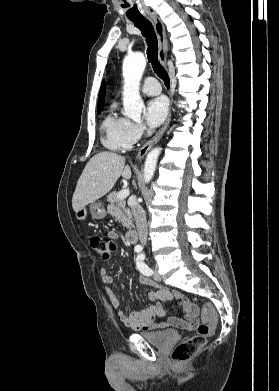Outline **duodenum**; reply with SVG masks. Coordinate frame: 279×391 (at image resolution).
<instances>
[{"label": "duodenum", "mask_w": 279, "mask_h": 391, "mask_svg": "<svg viewBox=\"0 0 279 391\" xmlns=\"http://www.w3.org/2000/svg\"><path fill=\"white\" fill-rule=\"evenodd\" d=\"M127 241L131 244H135L139 240V235L137 229H130L126 234Z\"/></svg>", "instance_id": "1"}]
</instances>
